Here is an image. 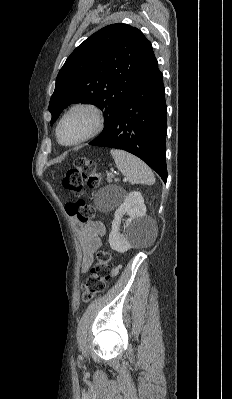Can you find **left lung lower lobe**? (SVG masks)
Returning <instances> with one entry per match:
<instances>
[{"label":"left lung lower lobe","mask_w":232,"mask_h":399,"mask_svg":"<svg viewBox=\"0 0 232 399\" xmlns=\"http://www.w3.org/2000/svg\"><path fill=\"white\" fill-rule=\"evenodd\" d=\"M166 114L163 75L158 69L151 46L111 128L89 145L130 152L142 159L166 182Z\"/></svg>","instance_id":"left-lung-lower-lobe-1"}]
</instances>
